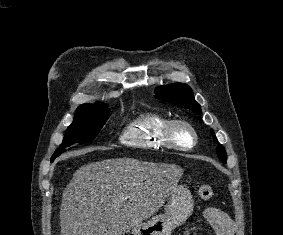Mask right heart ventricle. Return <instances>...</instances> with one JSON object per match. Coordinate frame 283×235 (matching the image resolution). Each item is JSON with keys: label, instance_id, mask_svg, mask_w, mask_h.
Here are the masks:
<instances>
[{"label": "right heart ventricle", "instance_id": "right-heart-ventricle-1", "mask_svg": "<svg viewBox=\"0 0 283 235\" xmlns=\"http://www.w3.org/2000/svg\"><path fill=\"white\" fill-rule=\"evenodd\" d=\"M170 118L156 111H147L135 118L124 130V144L145 150L171 148L165 137Z\"/></svg>", "mask_w": 283, "mask_h": 235}]
</instances>
